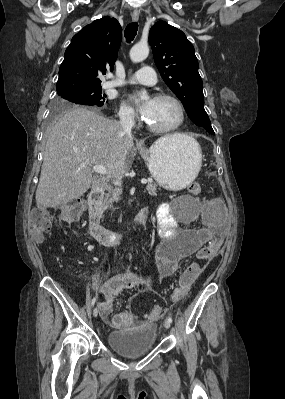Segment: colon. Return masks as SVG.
Masks as SVG:
<instances>
[{"mask_svg":"<svg viewBox=\"0 0 285 399\" xmlns=\"http://www.w3.org/2000/svg\"><path fill=\"white\" fill-rule=\"evenodd\" d=\"M189 193L192 196H197L201 192V185L199 183H192L189 188ZM86 208V203L81 199H76L66 204L60 209L48 208V209H33L29 216V227L31 234L34 239H42L49 230L54 226L55 221H76L78 220ZM220 242L214 240L206 244L201 249L200 262H194L188 266L184 272L179 285V292L185 294L188 292L192 283L200 276L205 270L209 260L215 255ZM161 312L159 305L150 307L147 311V315L150 318H156Z\"/></svg>","mask_w":285,"mask_h":399,"instance_id":"5ec220e1","label":"colon"}]
</instances>
